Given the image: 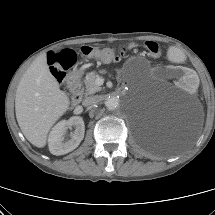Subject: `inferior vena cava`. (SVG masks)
<instances>
[{"label": "inferior vena cava", "instance_id": "inferior-vena-cava-1", "mask_svg": "<svg viewBox=\"0 0 215 215\" xmlns=\"http://www.w3.org/2000/svg\"><path fill=\"white\" fill-rule=\"evenodd\" d=\"M99 101V97L97 96H90V97H86L83 102L82 105L87 107L93 104H96Z\"/></svg>", "mask_w": 215, "mask_h": 215}]
</instances>
